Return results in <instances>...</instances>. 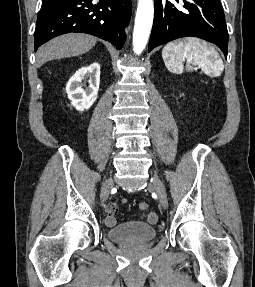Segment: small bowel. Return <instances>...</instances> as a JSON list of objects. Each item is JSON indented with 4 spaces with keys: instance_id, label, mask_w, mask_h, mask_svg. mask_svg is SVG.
Wrapping results in <instances>:
<instances>
[{
    "instance_id": "c3829d8e",
    "label": "small bowel",
    "mask_w": 255,
    "mask_h": 287,
    "mask_svg": "<svg viewBox=\"0 0 255 287\" xmlns=\"http://www.w3.org/2000/svg\"><path fill=\"white\" fill-rule=\"evenodd\" d=\"M122 203H127V199L123 198ZM118 211L117 204L111 202L106 207V219L105 224L112 227L116 224V214ZM141 219L150 224H156L158 221V216L154 212H148L141 216Z\"/></svg>"
}]
</instances>
